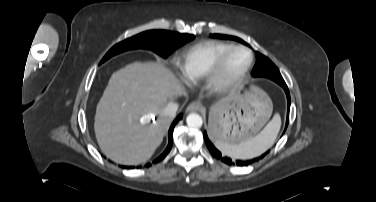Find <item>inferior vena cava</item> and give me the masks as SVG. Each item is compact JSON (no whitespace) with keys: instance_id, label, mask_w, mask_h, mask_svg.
I'll use <instances>...</instances> for the list:
<instances>
[{"instance_id":"1","label":"inferior vena cava","mask_w":376,"mask_h":202,"mask_svg":"<svg viewBox=\"0 0 376 202\" xmlns=\"http://www.w3.org/2000/svg\"><path fill=\"white\" fill-rule=\"evenodd\" d=\"M178 110V104L175 102H170L167 104V106L163 109L162 115L169 117V118H174L176 115V112Z\"/></svg>"}]
</instances>
